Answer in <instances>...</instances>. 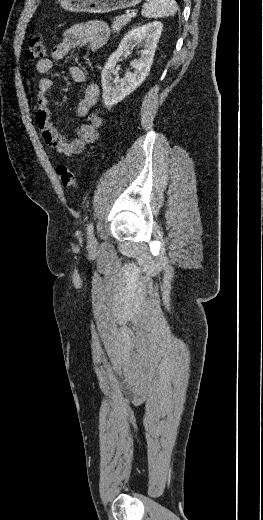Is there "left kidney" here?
Masks as SVG:
<instances>
[{"label":"left kidney","instance_id":"1","mask_svg":"<svg viewBox=\"0 0 263 520\" xmlns=\"http://www.w3.org/2000/svg\"><path fill=\"white\" fill-rule=\"evenodd\" d=\"M162 28V23L155 21L130 30L120 42L118 49L109 57L101 74L103 101L106 107H112L122 101L148 76ZM134 46L143 47L140 57L131 62L134 71L127 72L124 78L119 79L116 64L123 53ZM113 75L116 76L115 79Z\"/></svg>","mask_w":263,"mask_h":520}]
</instances>
